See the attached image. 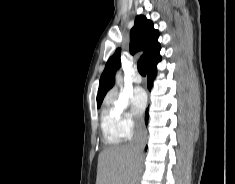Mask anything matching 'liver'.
<instances>
[{"mask_svg": "<svg viewBox=\"0 0 235 184\" xmlns=\"http://www.w3.org/2000/svg\"><path fill=\"white\" fill-rule=\"evenodd\" d=\"M139 162L130 144L105 148L99 154L96 184H135Z\"/></svg>", "mask_w": 235, "mask_h": 184, "instance_id": "obj_1", "label": "liver"}]
</instances>
